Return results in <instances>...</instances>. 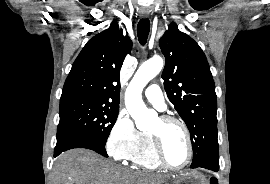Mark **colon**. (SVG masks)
<instances>
[{
    "label": "colon",
    "instance_id": "5ec220e1",
    "mask_svg": "<svg viewBox=\"0 0 270 184\" xmlns=\"http://www.w3.org/2000/svg\"><path fill=\"white\" fill-rule=\"evenodd\" d=\"M209 184H218V180L216 178H211Z\"/></svg>",
    "mask_w": 270,
    "mask_h": 184
}]
</instances>
